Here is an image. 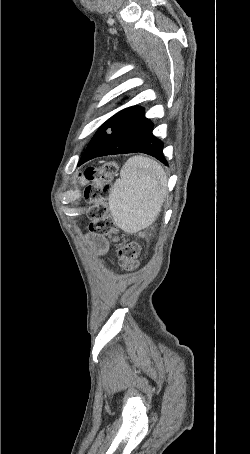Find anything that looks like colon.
Here are the masks:
<instances>
[{
    "label": "colon",
    "instance_id": "colon-1",
    "mask_svg": "<svg viewBox=\"0 0 250 454\" xmlns=\"http://www.w3.org/2000/svg\"><path fill=\"white\" fill-rule=\"evenodd\" d=\"M115 162H107L100 167H89L85 177L93 184L87 188L86 197L93 202L89 210L90 231L95 235H108L115 232V223L110 215L107 199L111 191V180L117 172ZM139 246L131 240H123L117 249L121 268L133 271L139 266Z\"/></svg>",
    "mask_w": 250,
    "mask_h": 454
}]
</instances>
